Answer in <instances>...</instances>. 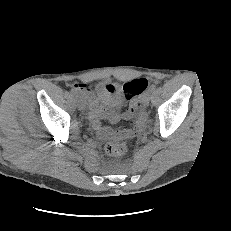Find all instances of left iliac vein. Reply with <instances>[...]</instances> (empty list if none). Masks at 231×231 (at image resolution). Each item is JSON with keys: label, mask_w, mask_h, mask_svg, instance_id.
Masks as SVG:
<instances>
[{"label": "left iliac vein", "mask_w": 231, "mask_h": 231, "mask_svg": "<svg viewBox=\"0 0 231 231\" xmlns=\"http://www.w3.org/2000/svg\"><path fill=\"white\" fill-rule=\"evenodd\" d=\"M151 90H147L145 93H144V95H143V98H142V101H143V103L144 104H148L149 103V100H150V98H151Z\"/></svg>", "instance_id": "4c4485c4"}]
</instances>
